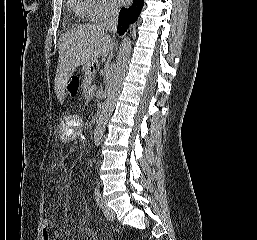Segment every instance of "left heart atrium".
Segmentation results:
<instances>
[{
	"label": "left heart atrium",
	"instance_id": "left-heart-atrium-1",
	"mask_svg": "<svg viewBox=\"0 0 257 240\" xmlns=\"http://www.w3.org/2000/svg\"><path fill=\"white\" fill-rule=\"evenodd\" d=\"M129 0H119V2H121V3H126V2H128Z\"/></svg>",
	"mask_w": 257,
	"mask_h": 240
}]
</instances>
